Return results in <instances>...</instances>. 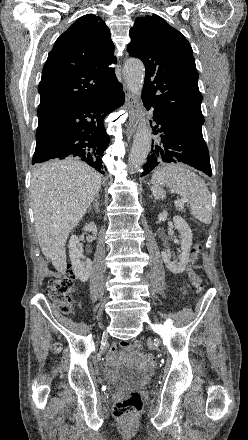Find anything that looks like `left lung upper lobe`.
<instances>
[{
    "mask_svg": "<svg viewBox=\"0 0 248 440\" xmlns=\"http://www.w3.org/2000/svg\"><path fill=\"white\" fill-rule=\"evenodd\" d=\"M129 35L127 51L146 69L142 96L155 112L202 133V95L189 42L155 14L137 18Z\"/></svg>",
    "mask_w": 248,
    "mask_h": 440,
    "instance_id": "1",
    "label": "left lung upper lobe"
}]
</instances>
